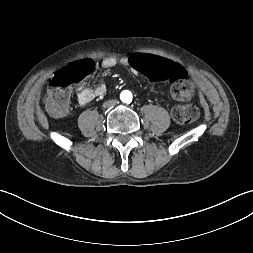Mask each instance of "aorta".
I'll list each match as a JSON object with an SVG mask.
<instances>
[{
    "instance_id": "762f6f07",
    "label": "aorta",
    "mask_w": 253,
    "mask_h": 253,
    "mask_svg": "<svg viewBox=\"0 0 253 253\" xmlns=\"http://www.w3.org/2000/svg\"><path fill=\"white\" fill-rule=\"evenodd\" d=\"M120 98L125 103H130L132 100V94L129 91H123L120 95Z\"/></svg>"
}]
</instances>
